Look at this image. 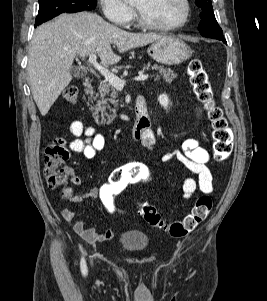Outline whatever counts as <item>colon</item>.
<instances>
[{
    "label": "colon",
    "mask_w": 267,
    "mask_h": 301,
    "mask_svg": "<svg viewBox=\"0 0 267 301\" xmlns=\"http://www.w3.org/2000/svg\"><path fill=\"white\" fill-rule=\"evenodd\" d=\"M193 92L204 106L212 125L213 155L217 161L227 159L233 149V132L221 108L213 101L212 87L208 73L198 59L190 61L187 69ZM79 92L76 86H68L63 91L67 102L75 103ZM69 159V151L63 138L52 140L45 150L44 174L49 188H61L63 197L68 198L71 190L67 186L69 172L64 164ZM152 173L149 167L140 162H128L117 167L107 182L98 188V200L103 210L111 216L120 213V198L134 185L150 181ZM212 200L209 196H200L191 211L180 221L165 222L156 207L149 203L140 204V213L150 225L166 230L173 237H183L191 233L209 215Z\"/></svg>",
    "instance_id": "obj_1"
}]
</instances>
